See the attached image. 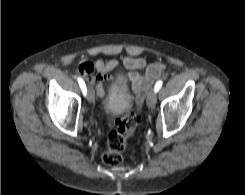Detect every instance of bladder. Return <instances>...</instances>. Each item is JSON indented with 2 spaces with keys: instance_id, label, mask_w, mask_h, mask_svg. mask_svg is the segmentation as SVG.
<instances>
[{
  "instance_id": "31cf9c89",
  "label": "bladder",
  "mask_w": 245,
  "mask_h": 195,
  "mask_svg": "<svg viewBox=\"0 0 245 195\" xmlns=\"http://www.w3.org/2000/svg\"><path fill=\"white\" fill-rule=\"evenodd\" d=\"M104 106L108 112L116 114L123 113L129 108L126 92L119 84H114L111 87L104 101Z\"/></svg>"
}]
</instances>
